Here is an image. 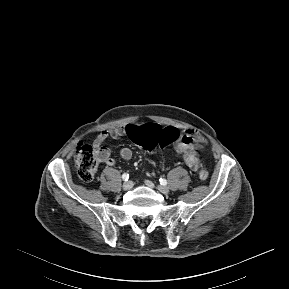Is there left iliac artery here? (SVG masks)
Segmentation results:
<instances>
[{
    "label": "left iliac artery",
    "instance_id": "44dca946",
    "mask_svg": "<svg viewBox=\"0 0 289 289\" xmlns=\"http://www.w3.org/2000/svg\"><path fill=\"white\" fill-rule=\"evenodd\" d=\"M159 181H160L161 185H163V186L167 185V180L166 179L160 178Z\"/></svg>",
    "mask_w": 289,
    "mask_h": 289
}]
</instances>
